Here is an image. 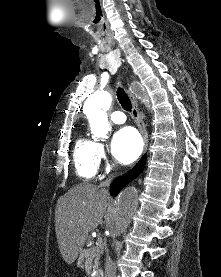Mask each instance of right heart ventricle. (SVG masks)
<instances>
[{
	"label": "right heart ventricle",
	"mask_w": 221,
	"mask_h": 277,
	"mask_svg": "<svg viewBox=\"0 0 221 277\" xmlns=\"http://www.w3.org/2000/svg\"><path fill=\"white\" fill-rule=\"evenodd\" d=\"M73 163L80 179H93L99 167L97 142L83 136L78 138L73 149Z\"/></svg>",
	"instance_id": "1"
}]
</instances>
